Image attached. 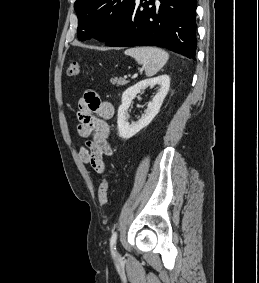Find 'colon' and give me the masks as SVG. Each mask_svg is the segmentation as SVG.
Wrapping results in <instances>:
<instances>
[{"label":"colon","instance_id":"colon-1","mask_svg":"<svg viewBox=\"0 0 259 283\" xmlns=\"http://www.w3.org/2000/svg\"><path fill=\"white\" fill-rule=\"evenodd\" d=\"M80 63L73 61L68 66V75L70 77H75L80 73ZM98 198L101 205H105L109 199V183L104 179L98 189Z\"/></svg>","mask_w":259,"mask_h":283}]
</instances>
